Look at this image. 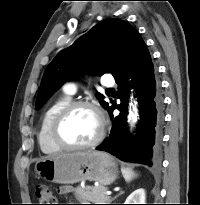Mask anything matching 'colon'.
Masks as SVG:
<instances>
[{
  "label": "colon",
  "instance_id": "obj_1",
  "mask_svg": "<svg viewBox=\"0 0 200 205\" xmlns=\"http://www.w3.org/2000/svg\"><path fill=\"white\" fill-rule=\"evenodd\" d=\"M35 195L38 199V205H56V197L51 188L45 184H39L36 186Z\"/></svg>",
  "mask_w": 200,
  "mask_h": 205
}]
</instances>
